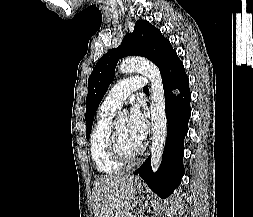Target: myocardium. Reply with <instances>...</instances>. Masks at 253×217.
Here are the masks:
<instances>
[{
  "instance_id": "1",
  "label": "myocardium",
  "mask_w": 253,
  "mask_h": 217,
  "mask_svg": "<svg viewBox=\"0 0 253 217\" xmlns=\"http://www.w3.org/2000/svg\"><path fill=\"white\" fill-rule=\"evenodd\" d=\"M107 147L110 156L116 162L122 165H129L136 162L143 151V146L141 145L134 154L132 155L126 154L121 148L120 140L117 131L115 129V126H111Z\"/></svg>"
}]
</instances>
